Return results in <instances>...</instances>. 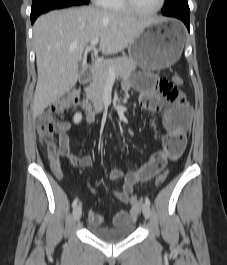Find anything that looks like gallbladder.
I'll return each instance as SVG.
<instances>
[{
  "instance_id": "obj_1",
  "label": "gallbladder",
  "mask_w": 227,
  "mask_h": 265,
  "mask_svg": "<svg viewBox=\"0 0 227 265\" xmlns=\"http://www.w3.org/2000/svg\"><path fill=\"white\" fill-rule=\"evenodd\" d=\"M82 69H83V66H82V65H80V66L78 67V70L81 72V71H82Z\"/></svg>"
}]
</instances>
